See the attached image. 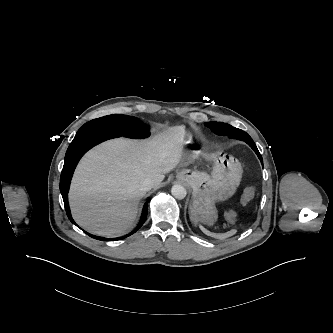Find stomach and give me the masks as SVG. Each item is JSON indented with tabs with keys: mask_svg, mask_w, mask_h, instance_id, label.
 Here are the masks:
<instances>
[{
	"mask_svg": "<svg viewBox=\"0 0 333 333\" xmlns=\"http://www.w3.org/2000/svg\"><path fill=\"white\" fill-rule=\"evenodd\" d=\"M202 151L195 150L198 158ZM211 172L198 169L183 168L177 172L176 178L192 188V201L189 215L192 223L199 222L213 225L218 218L216 201L230 198L240 184L242 166L238 159L224 152L206 155Z\"/></svg>",
	"mask_w": 333,
	"mask_h": 333,
	"instance_id": "0dacf381",
	"label": "stomach"
}]
</instances>
